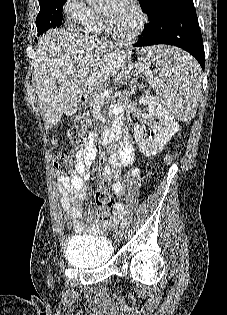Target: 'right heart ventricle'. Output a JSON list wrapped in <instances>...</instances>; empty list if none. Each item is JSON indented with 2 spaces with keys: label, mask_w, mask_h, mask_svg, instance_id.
<instances>
[{
  "label": "right heart ventricle",
  "mask_w": 227,
  "mask_h": 315,
  "mask_svg": "<svg viewBox=\"0 0 227 315\" xmlns=\"http://www.w3.org/2000/svg\"><path fill=\"white\" fill-rule=\"evenodd\" d=\"M82 31L87 35L99 36L105 34L106 30L99 12L92 10L90 18L81 25Z\"/></svg>",
  "instance_id": "e07e8e85"
}]
</instances>
